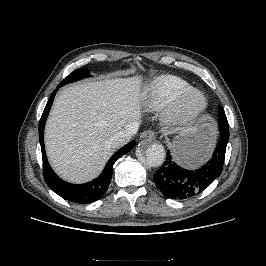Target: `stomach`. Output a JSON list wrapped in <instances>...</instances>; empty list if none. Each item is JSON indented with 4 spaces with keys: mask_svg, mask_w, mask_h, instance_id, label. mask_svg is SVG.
Segmentation results:
<instances>
[{
    "mask_svg": "<svg viewBox=\"0 0 266 266\" xmlns=\"http://www.w3.org/2000/svg\"><path fill=\"white\" fill-rule=\"evenodd\" d=\"M215 133L211 120L203 117L196 126L174 138L171 148L175 159L187 167L204 162L214 146Z\"/></svg>",
    "mask_w": 266,
    "mask_h": 266,
    "instance_id": "obj_1",
    "label": "stomach"
}]
</instances>
